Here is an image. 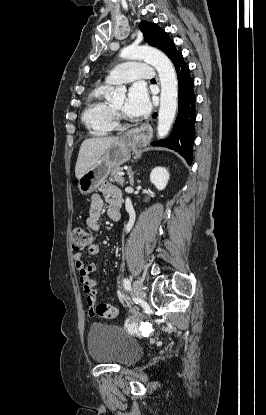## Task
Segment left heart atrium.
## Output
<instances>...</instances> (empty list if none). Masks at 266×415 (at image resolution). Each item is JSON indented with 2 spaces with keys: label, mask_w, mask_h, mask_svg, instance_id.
Returning <instances> with one entry per match:
<instances>
[{
  "label": "left heart atrium",
  "mask_w": 266,
  "mask_h": 415,
  "mask_svg": "<svg viewBox=\"0 0 266 415\" xmlns=\"http://www.w3.org/2000/svg\"><path fill=\"white\" fill-rule=\"evenodd\" d=\"M150 110L151 102L147 89L140 83L134 84L130 88L125 102V114L132 118H139L147 115Z\"/></svg>",
  "instance_id": "obj_1"
}]
</instances>
